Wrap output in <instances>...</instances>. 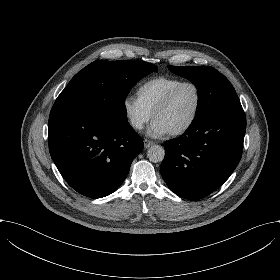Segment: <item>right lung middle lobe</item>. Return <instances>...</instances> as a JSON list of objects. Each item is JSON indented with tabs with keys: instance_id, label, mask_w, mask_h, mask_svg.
Returning a JSON list of instances; mask_svg holds the SVG:
<instances>
[{
	"instance_id": "right-lung-middle-lobe-1",
	"label": "right lung middle lobe",
	"mask_w": 280,
	"mask_h": 280,
	"mask_svg": "<svg viewBox=\"0 0 280 280\" xmlns=\"http://www.w3.org/2000/svg\"><path fill=\"white\" fill-rule=\"evenodd\" d=\"M154 64L97 60L78 72L54 106H74L105 118L127 120L125 99L144 76L157 72Z\"/></svg>"
}]
</instances>
